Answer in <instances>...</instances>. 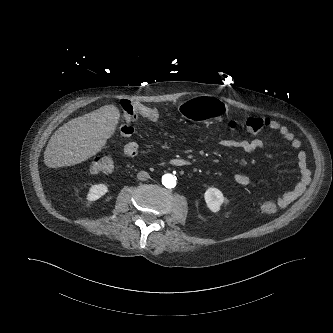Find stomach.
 <instances>
[{
    "mask_svg": "<svg viewBox=\"0 0 333 333\" xmlns=\"http://www.w3.org/2000/svg\"><path fill=\"white\" fill-rule=\"evenodd\" d=\"M178 110L190 121L205 122L226 111L227 105L209 95H201L182 102Z\"/></svg>",
    "mask_w": 333,
    "mask_h": 333,
    "instance_id": "stomach-1",
    "label": "stomach"
}]
</instances>
